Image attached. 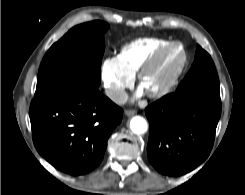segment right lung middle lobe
I'll use <instances>...</instances> for the list:
<instances>
[{"instance_id":"dd1d6c3e","label":"right lung middle lobe","mask_w":245,"mask_h":195,"mask_svg":"<svg viewBox=\"0 0 245 195\" xmlns=\"http://www.w3.org/2000/svg\"><path fill=\"white\" fill-rule=\"evenodd\" d=\"M108 28L102 21L77 25L53 44L40 65L34 98L73 87L97 88Z\"/></svg>"}]
</instances>
